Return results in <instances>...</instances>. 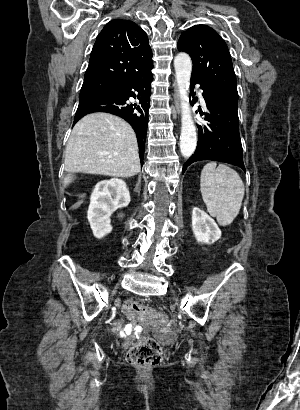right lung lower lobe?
<instances>
[{"instance_id":"right-lung-lower-lobe-1","label":"right lung lower lobe","mask_w":300,"mask_h":410,"mask_svg":"<svg viewBox=\"0 0 300 410\" xmlns=\"http://www.w3.org/2000/svg\"><path fill=\"white\" fill-rule=\"evenodd\" d=\"M151 82L152 73L148 72L141 76L126 78L112 90L79 98L74 124L86 114L93 112H108L125 119L136 133L142 163L148 128ZM130 97L137 98L139 104L128 103Z\"/></svg>"}]
</instances>
